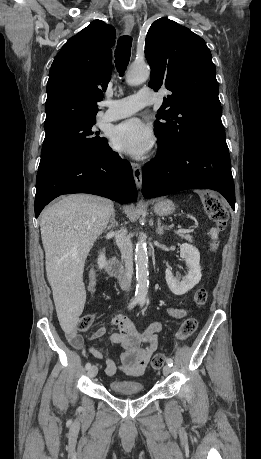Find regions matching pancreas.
Instances as JSON below:
<instances>
[{"label":"pancreas","mask_w":261,"mask_h":459,"mask_svg":"<svg viewBox=\"0 0 261 459\" xmlns=\"http://www.w3.org/2000/svg\"><path fill=\"white\" fill-rule=\"evenodd\" d=\"M179 237L187 240L188 242H193V237L189 234L178 233Z\"/></svg>","instance_id":"pancreas-1"}]
</instances>
